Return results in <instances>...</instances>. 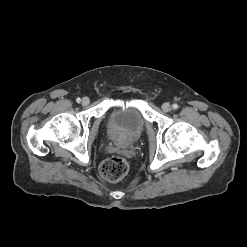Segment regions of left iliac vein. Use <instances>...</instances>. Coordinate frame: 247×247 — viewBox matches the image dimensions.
Here are the masks:
<instances>
[{
	"label": "left iliac vein",
	"mask_w": 247,
	"mask_h": 247,
	"mask_svg": "<svg viewBox=\"0 0 247 247\" xmlns=\"http://www.w3.org/2000/svg\"><path fill=\"white\" fill-rule=\"evenodd\" d=\"M162 110L164 112H169L171 110V105L169 103H167V102L166 103H163Z\"/></svg>",
	"instance_id": "obj_1"
}]
</instances>
